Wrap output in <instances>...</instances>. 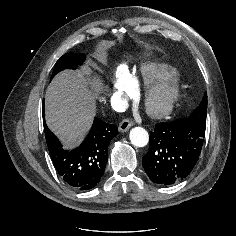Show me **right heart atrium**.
<instances>
[{"label":"right heart atrium","mask_w":236,"mask_h":236,"mask_svg":"<svg viewBox=\"0 0 236 236\" xmlns=\"http://www.w3.org/2000/svg\"><path fill=\"white\" fill-rule=\"evenodd\" d=\"M110 89V101L114 105L124 102L134 94L129 72L126 67L121 66L117 69L110 82Z\"/></svg>","instance_id":"obj_1"}]
</instances>
